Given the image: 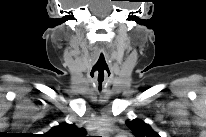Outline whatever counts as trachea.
<instances>
[{"instance_id": "trachea-1", "label": "trachea", "mask_w": 206, "mask_h": 137, "mask_svg": "<svg viewBox=\"0 0 206 137\" xmlns=\"http://www.w3.org/2000/svg\"><path fill=\"white\" fill-rule=\"evenodd\" d=\"M106 67L107 65L104 57L101 55L96 65L93 67V71H98L97 82L100 90L102 89V83L104 81V70L106 69Z\"/></svg>"}]
</instances>
